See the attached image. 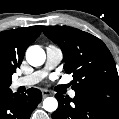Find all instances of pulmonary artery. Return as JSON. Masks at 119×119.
I'll return each mask as SVG.
<instances>
[{"label": "pulmonary artery", "instance_id": "1", "mask_svg": "<svg viewBox=\"0 0 119 119\" xmlns=\"http://www.w3.org/2000/svg\"><path fill=\"white\" fill-rule=\"evenodd\" d=\"M62 58L63 53L60 48L54 45H48L46 47V62L44 68L40 71L15 79L12 82V88L17 89L19 87H29L37 84L43 77H45L49 70H52L61 62ZM69 95L71 98H74L76 93L71 90Z\"/></svg>", "mask_w": 119, "mask_h": 119}]
</instances>
